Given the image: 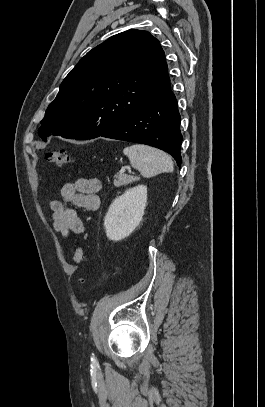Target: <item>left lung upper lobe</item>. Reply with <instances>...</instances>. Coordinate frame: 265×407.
I'll return each mask as SVG.
<instances>
[{"mask_svg":"<svg viewBox=\"0 0 265 407\" xmlns=\"http://www.w3.org/2000/svg\"><path fill=\"white\" fill-rule=\"evenodd\" d=\"M165 53L147 31L131 29L90 50L48 106L39 136L93 139L114 128L169 84Z\"/></svg>","mask_w":265,"mask_h":407,"instance_id":"5c2ea615","label":"left lung upper lobe"}]
</instances>
